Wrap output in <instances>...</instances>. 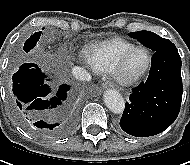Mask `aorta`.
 I'll list each match as a JSON object with an SVG mask.
<instances>
[{
    "label": "aorta",
    "mask_w": 190,
    "mask_h": 165,
    "mask_svg": "<svg viewBox=\"0 0 190 165\" xmlns=\"http://www.w3.org/2000/svg\"><path fill=\"white\" fill-rule=\"evenodd\" d=\"M106 106L115 114H121L125 108V101L122 95L114 89H109L104 94Z\"/></svg>",
    "instance_id": "762f6f07"
}]
</instances>
